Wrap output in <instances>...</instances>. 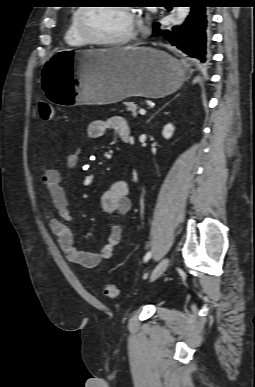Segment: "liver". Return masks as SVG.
Instances as JSON below:
<instances>
[{"label":"liver","mask_w":255,"mask_h":387,"mask_svg":"<svg viewBox=\"0 0 255 387\" xmlns=\"http://www.w3.org/2000/svg\"><path fill=\"white\" fill-rule=\"evenodd\" d=\"M130 47H126V48H124V49H129Z\"/></svg>","instance_id":"1"}]
</instances>
